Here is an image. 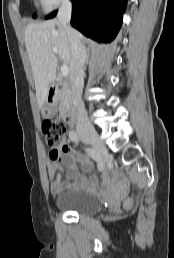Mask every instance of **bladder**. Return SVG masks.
I'll list each match as a JSON object with an SVG mask.
<instances>
[{"label":"bladder","instance_id":"1","mask_svg":"<svg viewBox=\"0 0 174 258\" xmlns=\"http://www.w3.org/2000/svg\"><path fill=\"white\" fill-rule=\"evenodd\" d=\"M55 208L79 215H94L101 209V203L91 191L65 186L54 200Z\"/></svg>","mask_w":174,"mask_h":258}]
</instances>
